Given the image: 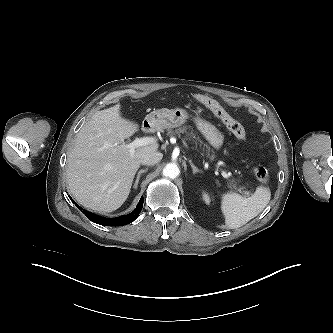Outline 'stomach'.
I'll return each instance as SVG.
<instances>
[{
    "label": "stomach",
    "instance_id": "obj_1",
    "mask_svg": "<svg viewBox=\"0 0 333 333\" xmlns=\"http://www.w3.org/2000/svg\"><path fill=\"white\" fill-rule=\"evenodd\" d=\"M190 118L213 148L220 149L223 146L224 135L215 125L199 116L193 117L184 108L154 110L146 116L145 121L151 129L162 130L180 127Z\"/></svg>",
    "mask_w": 333,
    "mask_h": 333
}]
</instances>
